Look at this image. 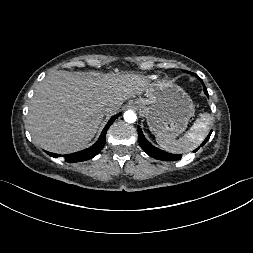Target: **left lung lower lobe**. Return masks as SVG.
Here are the masks:
<instances>
[{"instance_id":"1","label":"left lung lower lobe","mask_w":253,"mask_h":253,"mask_svg":"<svg viewBox=\"0 0 253 253\" xmlns=\"http://www.w3.org/2000/svg\"><path fill=\"white\" fill-rule=\"evenodd\" d=\"M187 73H191L186 71ZM193 75H195L203 84V88H204V93L208 96V92L207 89L202 81V79L200 77H198L196 74L191 73ZM212 131L209 133V135L207 136V138L203 141V143L201 144V146H203L208 140L209 137L211 135ZM138 138H139V143L140 146L142 147V149L151 157L158 159V160H164V161H176L181 159V155L179 154H171V153H167L163 150H160L156 147H154L152 144H150L146 138L144 137L142 130L140 127H138ZM200 147H198L196 150H194V152H196Z\"/></svg>"}]
</instances>
